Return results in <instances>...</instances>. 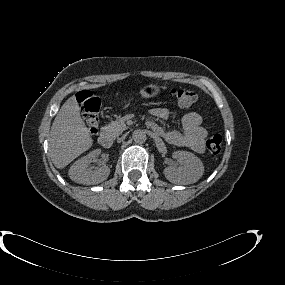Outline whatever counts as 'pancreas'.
I'll list each match as a JSON object with an SVG mask.
<instances>
[{"label": "pancreas", "instance_id": "pancreas-1", "mask_svg": "<svg viewBox=\"0 0 285 285\" xmlns=\"http://www.w3.org/2000/svg\"><path fill=\"white\" fill-rule=\"evenodd\" d=\"M103 129L111 136L116 137L121 134L125 129H127V126L124 122V119L118 117L115 121L110 122Z\"/></svg>", "mask_w": 285, "mask_h": 285}]
</instances>
